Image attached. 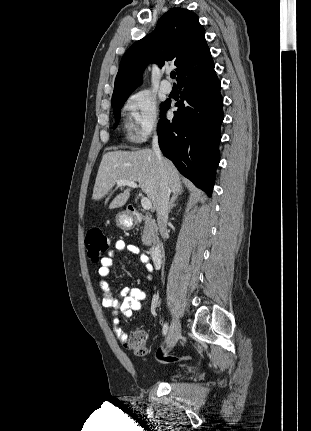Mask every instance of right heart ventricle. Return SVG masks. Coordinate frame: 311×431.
Returning <instances> with one entry per match:
<instances>
[{"instance_id":"right-heart-ventricle-1","label":"right heart ventricle","mask_w":311,"mask_h":431,"mask_svg":"<svg viewBox=\"0 0 311 431\" xmlns=\"http://www.w3.org/2000/svg\"><path fill=\"white\" fill-rule=\"evenodd\" d=\"M124 137L127 141H132L135 138V136L132 134L130 130L129 124L126 122L124 123Z\"/></svg>"}]
</instances>
